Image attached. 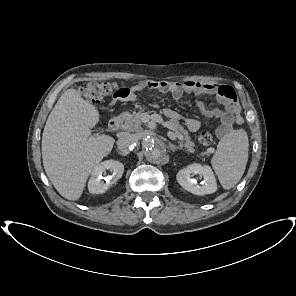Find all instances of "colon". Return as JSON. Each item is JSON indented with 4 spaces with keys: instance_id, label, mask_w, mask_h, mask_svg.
I'll return each mask as SVG.
<instances>
[{
    "instance_id": "1",
    "label": "colon",
    "mask_w": 296,
    "mask_h": 296,
    "mask_svg": "<svg viewBox=\"0 0 296 296\" xmlns=\"http://www.w3.org/2000/svg\"><path fill=\"white\" fill-rule=\"evenodd\" d=\"M127 88L114 82H89L80 87V94L89 102L96 103L104 100L107 97H122L126 94ZM198 141L203 146H208L212 143L213 137L208 131H202L198 136Z\"/></svg>"
}]
</instances>
